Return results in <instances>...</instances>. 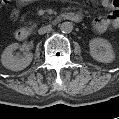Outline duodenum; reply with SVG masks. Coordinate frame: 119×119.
Masks as SVG:
<instances>
[{"label": "duodenum", "instance_id": "duodenum-1", "mask_svg": "<svg viewBox=\"0 0 119 119\" xmlns=\"http://www.w3.org/2000/svg\"><path fill=\"white\" fill-rule=\"evenodd\" d=\"M80 20H81V16L78 13L65 12L57 17L56 22H60V21L79 22ZM28 36H29V32L25 28H19L15 32V37L19 41L26 40Z\"/></svg>", "mask_w": 119, "mask_h": 119}]
</instances>
